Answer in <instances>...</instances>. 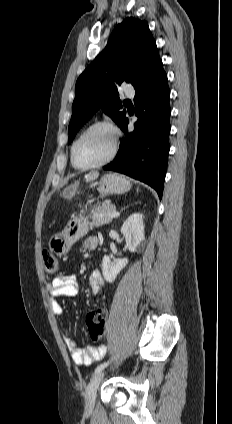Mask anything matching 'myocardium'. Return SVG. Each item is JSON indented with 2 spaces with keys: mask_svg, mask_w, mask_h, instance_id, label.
<instances>
[{
  "mask_svg": "<svg viewBox=\"0 0 232 424\" xmlns=\"http://www.w3.org/2000/svg\"><path fill=\"white\" fill-rule=\"evenodd\" d=\"M97 128H104L112 134V148H111L109 154L105 158H103L102 160H100V161H98L94 164L87 165V166H80L76 163V160H75L76 147H77L78 143L80 142V140L86 134H88L90 131L97 129ZM118 149H119V131H118V129L110 122L97 121V122L91 124L90 126H88L83 132H81V134L74 141L72 148H71V162H72L73 166L75 168L79 169V170H90V169L98 168V167H101V166L109 163L110 161H112L114 159V157L116 156Z\"/></svg>",
  "mask_w": 232,
  "mask_h": 424,
  "instance_id": "myocardium-1",
  "label": "myocardium"
}]
</instances>
